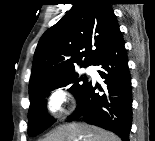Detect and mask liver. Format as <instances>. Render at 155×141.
<instances>
[{"label":"liver","instance_id":"obj_1","mask_svg":"<svg viewBox=\"0 0 155 141\" xmlns=\"http://www.w3.org/2000/svg\"><path fill=\"white\" fill-rule=\"evenodd\" d=\"M120 141L113 133L85 123L57 127L43 141Z\"/></svg>","mask_w":155,"mask_h":141}]
</instances>
